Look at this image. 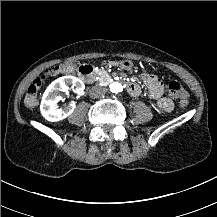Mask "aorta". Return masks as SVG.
<instances>
[{
  "mask_svg": "<svg viewBox=\"0 0 217 217\" xmlns=\"http://www.w3.org/2000/svg\"><path fill=\"white\" fill-rule=\"evenodd\" d=\"M111 89L114 93L122 91V85L120 83H115L111 86Z\"/></svg>",
  "mask_w": 217,
  "mask_h": 217,
  "instance_id": "aorta-1",
  "label": "aorta"
}]
</instances>
